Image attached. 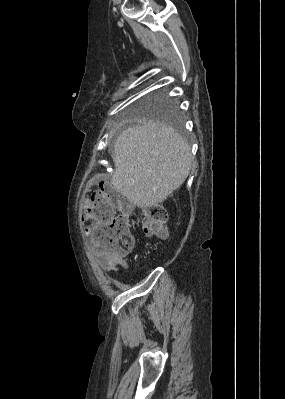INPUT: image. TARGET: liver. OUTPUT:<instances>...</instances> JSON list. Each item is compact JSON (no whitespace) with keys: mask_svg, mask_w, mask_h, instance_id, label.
<instances>
[{"mask_svg":"<svg viewBox=\"0 0 285 399\" xmlns=\"http://www.w3.org/2000/svg\"><path fill=\"white\" fill-rule=\"evenodd\" d=\"M112 159V185L140 208L162 203L186 180L192 165L190 146L182 137L152 121L122 131Z\"/></svg>","mask_w":285,"mask_h":399,"instance_id":"liver-1","label":"liver"}]
</instances>
